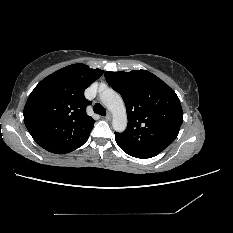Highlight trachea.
Here are the masks:
<instances>
[{"instance_id":"1","label":"trachea","mask_w":233,"mask_h":233,"mask_svg":"<svg viewBox=\"0 0 233 233\" xmlns=\"http://www.w3.org/2000/svg\"><path fill=\"white\" fill-rule=\"evenodd\" d=\"M93 111L101 116L106 115V109L99 103H96L93 107Z\"/></svg>"}]
</instances>
